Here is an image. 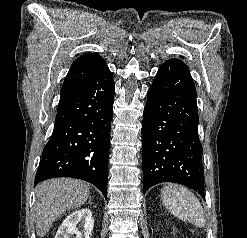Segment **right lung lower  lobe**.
I'll return each mask as SVG.
<instances>
[{"mask_svg": "<svg viewBox=\"0 0 247 238\" xmlns=\"http://www.w3.org/2000/svg\"><path fill=\"white\" fill-rule=\"evenodd\" d=\"M115 85L108 67L59 102L54 131L43 150L35 184L73 177L94 184L106 197Z\"/></svg>", "mask_w": 247, "mask_h": 238, "instance_id": "obj_1", "label": "right lung lower lobe"}]
</instances>
